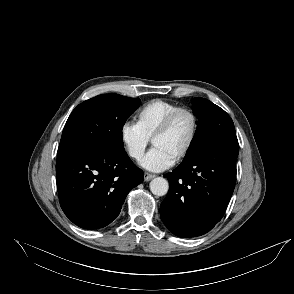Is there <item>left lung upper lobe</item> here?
Masks as SVG:
<instances>
[{
  "label": "left lung upper lobe",
  "mask_w": 294,
  "mask_h": 294,
  "mask_svg": "<svg viewBox=\"0 0 294 294\" xmlns=\"http://www.w3.org/2000/svg\"><path fill=\"white\" fill-rule=\"evenodd\" d=\"M192 109L198 118L197 129L184 160L210 141L224 135L236 134L231 117L211 101L194 98Z\"/></svg>",
  "instance_id": "obj_1"
}]
</instances>
